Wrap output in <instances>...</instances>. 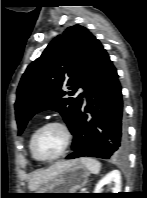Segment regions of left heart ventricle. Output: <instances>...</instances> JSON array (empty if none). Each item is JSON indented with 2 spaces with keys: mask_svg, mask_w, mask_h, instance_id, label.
<instances>
[{
  "mask_svg": "<svg viewBox=\"0 0 147 198\" xmlns=\"http://www.w3.org/2000/svg\"><path fill=\"white\" fill-rule=\"evenodd\" d=\"M65 137L58 127H48L41 131L35 141V149L43 158L58 154L64 146Z\"/></svg>",
  "mask_w": 147,
  "mask_h": 198,
  "instance_id": "1",
  "label": "left heart ventricle"
}]
</instances>
